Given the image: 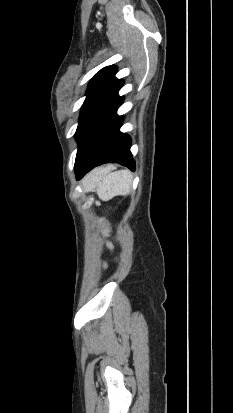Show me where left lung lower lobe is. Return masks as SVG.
I'll return each instance as SVG.
<instances>
[{"label": "left lung lower lobe", "mask_w": 233, "mask_h": 413, "mask_svg": "<svg viewBox=\"0 0 233 413\" xmlns=\"http://www.w3.org/2000/svg\"><path fill=\"white\" fill-rule=\"evenodd\" d=\"M124 101L118 93L88 126L79 144L75 161L76 178L104 163H119L135 170L130 152L131 139L119 131L123 118L116 114Z\"/></svg>", "instance_id": "0a47b994"}]
</instances>
